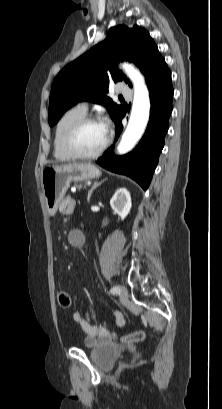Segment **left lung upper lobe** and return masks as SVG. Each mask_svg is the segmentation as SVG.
I'll list each match as a JSON object with an SVG mask.
<instances>
[{
  "label": "left lung upper lobe",
  "instance_id": "left-lung-upper-lobe-1",
  "mask_svg": "<svg viewBox=\"0 0 222 409\" xmlns=\"http://www.w3.org/2000/svg\"><path fill=\"white\" fill-rule=\"evenodd\" d=\"M125 60L139 67L147 84L168 69L157 45L145 29L137 25L129 28L124 24L112 27L104 41L66 65L55 77L49 100V125L56 124L66 110L85 100L106 106L115 120L123 108L105 94L108 93L110 80L117 82L124 79L132 86L116 67L118 62Z\"/></svg>",
  "mask_w": 222,
  "mask_h": 409
}]
</instances>
